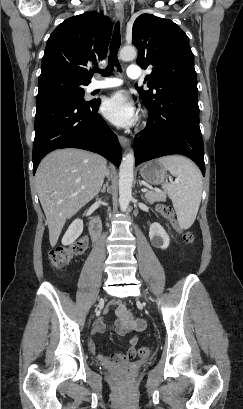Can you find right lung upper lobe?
Wrapping results in <instances>:
<instances>
[{
    "instance_id": "obj_1",
    "label": "right lung upper lobe",
    "mask_w": 243,
    "mask_h": 409,
    "mask_svg": "<svg viewBox=\"0 0 243 409\" xmlns=\"http://www.w3.org/2000/svg\"><path fill=\"white\" fill-rule=\"evenodd\" d=\"M111 33V20L95 11L66 19L47 41L39 79L64 76L89 84V66L106 57Z\"/></svg>"
}]
</instances>
